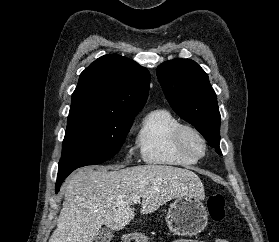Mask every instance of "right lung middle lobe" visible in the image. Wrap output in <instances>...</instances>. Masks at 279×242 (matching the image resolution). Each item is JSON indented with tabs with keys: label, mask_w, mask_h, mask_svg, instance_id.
Wrapping results in <instances>:
<instances>
[{
	"label": "right lung middle lobe",
	"mask_w": 279,
	"mask_h": 242,
	"mask_svg": "<svg viewBox=\"0 0 279 242\" xmlns=\"http://www.w3.org/2000/svg\"><path fill=\"white\" fill-rule=\"evenodd\" d=\"M133 120L69 115L57 181L79 167L100 164L112 158L119 152Z\"/></svg>",
	"instance_id": "right-lung-middle-lobe-1"
}]
</instances>
